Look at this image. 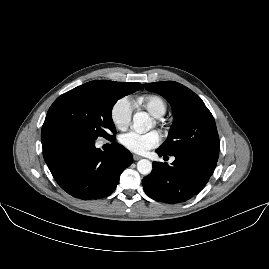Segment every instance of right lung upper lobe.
<instances>
[{"instance_id":"cb5924a9","label":"right lung upper lobe","mask_w":269,"mask_h":269,"mask_svg":"<svg viewBox=\"0 0 269 269\" xmlns=\"http://www.w3.org/2000/svg\"><path fill=\"white\" fill-rule=\"evenodd\" d=\"M100 90L109 91L121 95H128L137 90L143 89L140 83L115 82L106 80H95L84 84Z\"/></svg>"}]
</instances>
